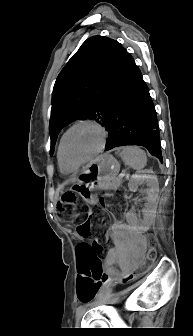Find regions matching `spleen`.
Returning <instances> with one entry per match:
<instances>
[{"mask_svg": "<svg viewBox=\"0 0 193 336\" xmlns=\"http://www.w3.org/2000/svg\"><path fill=\"white\" fill-rule=\"evenodd\" d=\"M119 156L126 165L137 171L143 169L147 163L146 153L137 146L122 147Z\"/></svg>", "mask_w": 193, "mask_h": 336, "instance_id": "obj_1", "label": "spleen"}]
</instances>
